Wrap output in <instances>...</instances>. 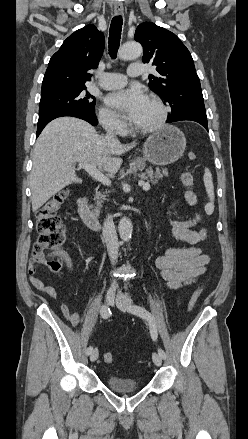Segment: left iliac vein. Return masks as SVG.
<instances>
[{
    "label": "left iliac vein",
    "instance_id": "4c4485c4",
    "mask_svg": "<svg viewBox=\"0 0 248 439\" xmlns=\"http://www.w3.org/2000/svg\"><path fill=\"white\" fill-rule=\"evenodd\" d=\"M116 305H117V307L120 310H122L124 312H130L131 311L130 307H131L132 303L127 298H125V297H123L121 295L117 296V298H116ZM152 360H153V362H154V364L156 366H158V367L161 366V364H162V357L159 355V353L154 352L152 354Z\"/></svg>",
    "mask_w": 248,
    "mask_h": 439
}]
</instances>
